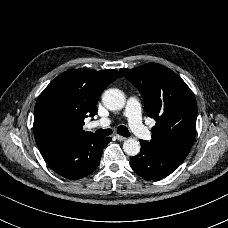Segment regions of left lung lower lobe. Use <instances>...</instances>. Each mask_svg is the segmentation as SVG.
Wrapping results in <instances>:
<instances>
[{
	"label": "left lung lower lobe",
	"mask_w": 228,
	"mask_h": 228,
	"mask_svg": "<svg viewBox=\"0 0 228 228\" xmlns=\"http://www.w3.org/2000/svg\"><path fill=\"white\" fill-rule=\"evenodd\" d=\"M141 151L130 158L132 169L141 177L158 180L171 174L186 158L180 154H170L156 151L140 140Z\"/></svg>",
	"instance_id": "obj_1"
}]
</instances>
